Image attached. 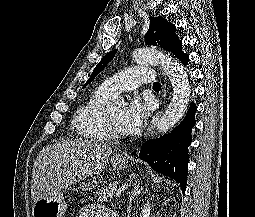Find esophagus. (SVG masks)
<instances>
[{"label":"esophagus","mask_w":255,"mask_h":217,"mask_svg":"<svg viewBox=\"0 0 255 217\" xmlns=\"http://www.w3.org/2000/svg\"><path fill=\"white\" fill-rule=\"evenodd\" d=\"M165 79H166V78H165ZM160 116H161V111L158 112V113L154 116V118H153L151 124L149 125L147 131H146L145 134H144V138L147 139V138L152 134L153 128H154V126H155V124H156V122L158 121V119H159Z\"/></svg>","instance_id":"1"}]
</instances>
